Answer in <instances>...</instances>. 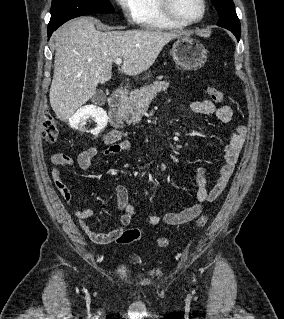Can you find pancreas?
<instances>
[{"label": "pancreas", "mask_w": 284, "mask_h": 319, "mask_svg": "<svg viewBox=\"0 0 284 319\" xmlns=\"http://www.w3.org/2000/svg\"><path fill=\"white\" fill-rule=\"evenodd\" d=\"M162 79V76H158L157 81L130 93L128 101H126L120 109L121 117L127 123H139L156 95L161 91L167 90L169 83Z\"/></svg>", "instance_id": "obj_1"}]
</instances>
